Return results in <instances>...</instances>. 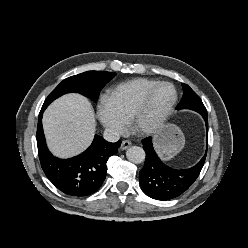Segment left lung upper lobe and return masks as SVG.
I'll list each match as a JSON object with an SVG mask.
<instances>
[{
    "mask_svg": "<svg viewBox=\"0 0 248 248\" xmlns=\"http://www.w3.org/2000/svg\"><path fill=\"white\" fill-rule=\"evenodd\" d=\"M183 98L177 109H191L196 112H204L206 108L200 97L186 84L182 83Z\"/></svg>",
    "mask_w": 248,
    "mask_h": 248,
    "instance_id": "left-lung-upper-lobe-1",
    "label": "left lung upper lobe"
}]
</instances>
